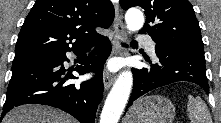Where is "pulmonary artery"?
<instances>
[{
	"label": "pulmonary artery",
	"instance_id": "obj_1",
	"mask_svg": "<svg viewBox=\"0 0 221 123\" xmlns=\"http://www.w3.org/2000/svg\"><path fill=\"white\" fill-rule=\"evenodd\" d=\"M138 39L145 45L148 52L152 55L155 53V45L154 42L147 36L141 35Z\"/></svg>",
	"mask_w": 221,
	"mask_h": 123
}]
</instances>
